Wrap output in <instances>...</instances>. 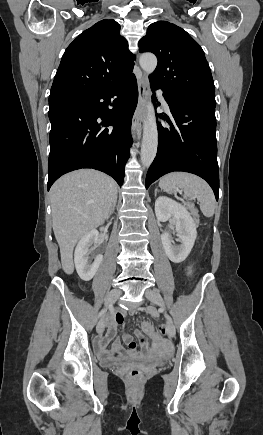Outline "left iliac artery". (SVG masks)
Segmentation results:
<instances>
[{
    "label": "left iliac artery",
    "mask_w": 263,
    "mask_h": 435,
    "mask_svg": "<svg viewBox=\"0 0 263 435\" xmlns=\"http://www.w3.org/2000/svg\"><path fill=\"white\" fill-rule=\"evenodd\" d=\"M166 318L171 321V318L168 315H166Z\"/></svg>",
    "instance_id": "obj_1"
}]
</instances>
